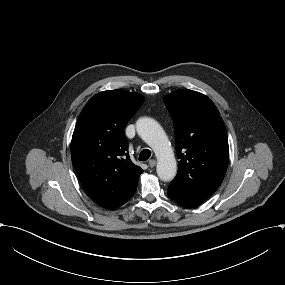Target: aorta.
Segmentation results:
<instances>
[{
  "instance_id": "762f6f07",
  "label": "aorta",
  "mask_w": 285,
  "mask_h": 285,
  "mask_svg": "<svg viewBox=\"0 0 285 285\" xmlns=\"http://www.w3.org/2000/svg\"><path fill=\"white\" fill-rule=\"evenodd\" d=\"M138 135L153 149L157 157L156 171L163 181H171L177 173V164L171 144L157 121L143 117L136 123Z\"/></svg>"
}]
</instances>
